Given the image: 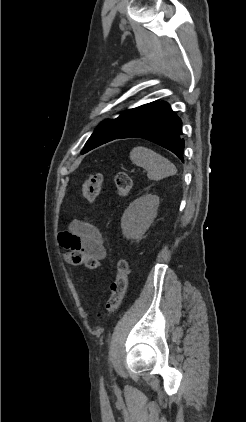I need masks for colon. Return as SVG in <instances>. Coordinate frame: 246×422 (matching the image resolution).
I'll return each instance as SVG.
<instances>
[{
    "instance_id": "obj_1",
    "label": "colon",
    "mask_w": 246,
    "mask_h": 422,
    "mask_svg": "<svg viewBox=\"0 0 246 422\" xmlns=\"http://www.w3.org/2000/svg\"><path fill=\"white\" fill-rule=\"evenodd\" d=\"M103 184L101 173L91 174L83 183L81 192L84 198L93 200L99 194ZM116 192L120 197L129 195L132 189V179L125 172H119L115 177ZM66 261L71 265H84L89 270L98 267V261L79 250H71L65 254ZM114 279L111 282L110 297L105 305L106 315L112 314L122 303L128 285V266L124 259H117L114 264Z\"/></svg>"
}]
</instances>
